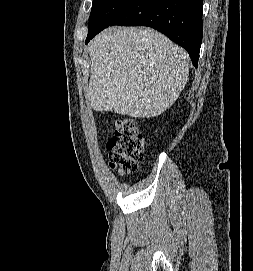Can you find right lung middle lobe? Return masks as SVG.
Segmentation results:
<instances>
[{"label":"right lung middle lobe","instance_id":"right-lung-middle-lobe-1","mask_svg":"<svg viewBox=\"0 0 253 271\" xmlns=\"http://www.w3.org/2000/svg\"><path fill=\"white\" fill-rule=\"evenodd\" d=\"M133 0H93L89 18L88 35L97 33L110 26L112 21Z\"/></svg>","mask_w":253,"mask_h":271}]
</instances>
